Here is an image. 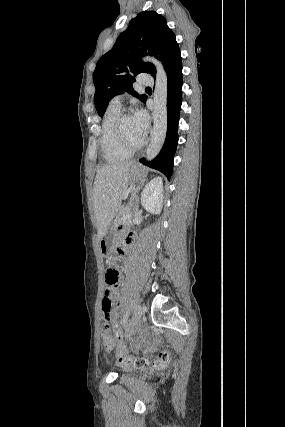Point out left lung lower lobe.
<instances>
[{"instance_id": "obj_1", "label": "left lung lower lobe", "mask_w": 285, "mask_h": 427, "mask_svg": "<svg viewBox=\"0 0 285 427\" xmlns=\"http://www.w3.org/2000/svg\"><path fill=\"white\" fill-rule=\"evenodd\" d=\"M168 76L167 92V133L165 143L159 155L148 166L159 170L167 178H170L173 169V158L178 144L177 128L182 103V58L180 53L175 56L166 69ZM140 162L146 164L145 159Z\"/></svg>"}]
</instances>
